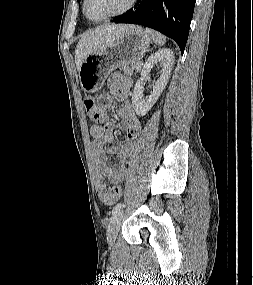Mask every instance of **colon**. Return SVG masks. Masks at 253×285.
<instances>
[{
    "label": "colon",
    "mask_w": 253,
    "mask_h": 285,
    "mask_svg": "<svg viewBox=\"0 0 253 285\" xmlns=\"http://www.w3.org/2000/svg\"><path fill=\"white\" fill-rule=\"evenodd\" d=\"M84 106H85V109L89 115L94 111V108L96 106V102L92 97H87L84 100ZM115 192L120 194L122 192V188L120 186H116Z\"/></svg>",
    "instance_id": "colon-1"
}]
</instances>
